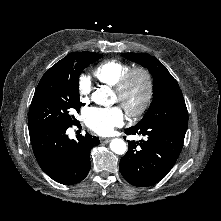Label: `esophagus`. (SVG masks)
I'll return each mask as SVG.
<instances>
[{
  "mask_svg": "<svg viewBox=\"0 0 221 221\" xmlns=\"http://www.w3.org/2000/svg\"><path fill=\"white\" fill-rule=\"evenodd\" d=\"M101 143H109L110 139L109 138H100Z\"/></svg>",
  "mask_w": 221,
  "mask_h": 221,
  "instance_id": "obj_1",
  "label": "esophagus"
}]
</instances>
